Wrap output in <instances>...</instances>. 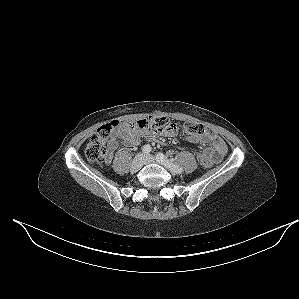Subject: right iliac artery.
Masks as SVG:
<instances>
[{
  "mask_svg": "<svg viewBox=\"0 0 299 299\" xmlns=\"http://www.w3.org/2000/svg\"><path fill=\"white\" fill-rule=\"evenodd\" d=\"M151 150H152V148H151L150 145H144V146L142 147V152L145 153V154L150 153Z\"/></svg>",
  "mask_w": 299,
  "mask_h": 299,
  "instance_id": "obj_1",
  "label": "right iliac artery"
}]
</instances>
